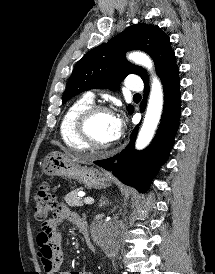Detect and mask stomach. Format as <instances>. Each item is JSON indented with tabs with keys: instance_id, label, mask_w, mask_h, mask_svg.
Wrapping results in <instances>:
<instances>
[{
	"instance_id": "1",
	"label": "stomach",
	"mask_w": 215,
	"mask_h": 274,
	"mask_svg": "<svg viewBox=\"0 0 215 274\" xmlns=\"http://www.w3.org/2000/svg\"><path fill=\"white\" fill-rule=\"evenodd\" d=\"M43 172L48 176H63L76 179L87 187L103 189L109 186V176L94 168L81 166L68 155L60 152H51L42 164Z\"/></svg>"
}]
</instances>
